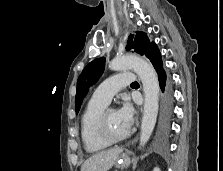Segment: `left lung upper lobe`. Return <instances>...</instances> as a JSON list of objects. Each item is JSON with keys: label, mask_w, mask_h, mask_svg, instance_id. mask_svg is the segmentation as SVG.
I'll use <instances>...</instances> for the list:
<instances>
[{"label": "left lung upper lobe", "mask_w": 223, "mask_h": 171, "mask_svg": "<svg viewBox=\"0 0 223 171\" xmlns=\"http://www.w3.org/2000/svg\"><path fill=\"white\" fill-rule=\"evenodd\" d=\"M154 42H150L146 33L136 32V35H130L126 49H134L135 52L146 55ZM105 67V58L101 57L91 61L80 74L77 81V91L75 98L76 114L79 112L82 101L87 95L89 88L94 85L102 75Z\"/></svg>", "instance_id": "1"}]
</instances>
